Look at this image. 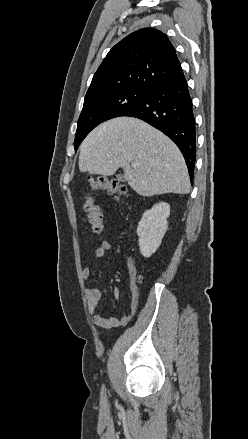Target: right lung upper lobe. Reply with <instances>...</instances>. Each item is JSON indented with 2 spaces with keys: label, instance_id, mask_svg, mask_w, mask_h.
<instances>
[{
  "label": "right lung upper lobe",
  "instance_id": "obj_1",
  "mask_svg": "<svg viewBox=\"0 0 248 439\" xmlns=\"http://www.w3.org/2000/svg\"><path fill=\"white\" fill-rule=\"evenodd\" d=\"M182 72L167 35L153 28L135 31L116 44L93 76L84 102L121 89L150 91Z\"/></svg>",
  "mask_w": 248,
  "mask_h": 439
}]
</instances>
